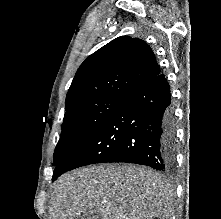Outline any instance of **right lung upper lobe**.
Here are the masks:
<instances>
[{"mask_svg":"<svg viewBox=\"0 0 221 219\" xmlns=\"http://www.w3.org/2000/svg\"><path fill=\"white\" fill-rule=\"evenodd\" d=\"M159 74L154 53L144 41L118 37L81 64L66 96V110L101 98L122 99Z\"/></svg>","mask_w":221,"mask_h":219,"instance_id":"cb5924a9","label":"right lung upper lobe"}]
</instances>
